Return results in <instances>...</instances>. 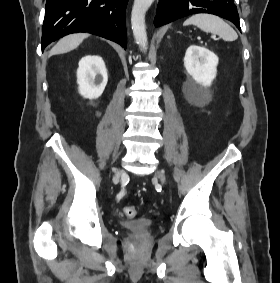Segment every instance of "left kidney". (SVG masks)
Listing matches in <instances>:
<instances>
[{
  "label": "left kidney",
  "instance_id": "1",
  "mask_svg": "<svg viewBox=\"0 0 280 283\" xmlns=\"http://www.w3.org/2000/svg\"><path fill=\"white\" fill-rule=\"evenodd\" d=\"M218 57L205 47L191 45L184 57V67L197 84L209 87L217 74Z\"/></svg>",
  "mask_w": 280,
  "mask_h": 283
}]
</instances>
